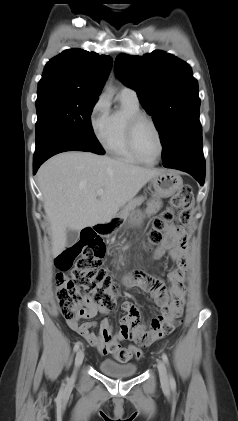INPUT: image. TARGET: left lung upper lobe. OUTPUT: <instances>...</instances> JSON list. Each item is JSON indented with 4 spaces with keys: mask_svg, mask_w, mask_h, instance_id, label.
I'll return each mask as SVG.
<instances>
[{
    "mask_svg": "<svg viewBox=\"0 0 238 421\" xmlns=\"http://www.w3.org/2000/svg\"><path fill=\"white\" fill-rule=\"evenodd\" d=\"M115 68L119 78L137 92L142 106L152 115L163 145V160L188 139L202 133L198 83L187 63L156 50L142 57L120 54Z\"/></svg>",
    "mask_w": 238,
    "mask_h": 421,
    "instance_id": "obj_1",
    "label": "left lung upper lobe"
}]
</instances>
